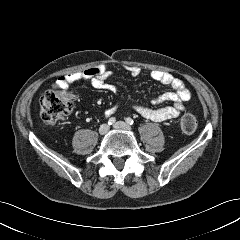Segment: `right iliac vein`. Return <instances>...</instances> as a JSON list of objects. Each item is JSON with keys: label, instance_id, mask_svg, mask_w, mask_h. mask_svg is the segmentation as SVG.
I'll return each instance as SVG.
<instances>
[{"label": "right iliac vein", "instance_id": "63e3f726", "mask_svg": "<svg viewBox=\"0 0 240 240\" xmlns=\"http://www.w3.org/2000/svg\"><path fill=\"white\" fill-rule=\"evenodd\" d=\"M108 131H109V125H108V124H102V125L100 126V128H99V133H100L101 135L107 134Z\"/></svg>", "mask_w": 240, "mask_h": 240}]
</instances>
